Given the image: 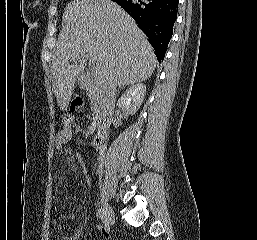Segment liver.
<instances>
[{"label": "liver", "instance_id": "6515ba94", "mask_svg": "<svg viewBox=\"0 0 257 240\" xmlns=\"http://www.w3.org/2000/svg\"><path fill=\"white\" fill-rule=\"evenodd\" d=\"M62 20L52 70V89L62 111L77 78L83 77L86 55H93L106 87L111 82L119 87L140 83L155 70L152 46L135 21L111 0H73Z\"/></svg>", "mask_w": 257, "mask_h": 240}]
</instances>
